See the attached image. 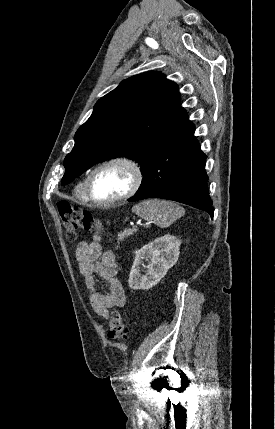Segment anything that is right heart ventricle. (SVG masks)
Here are the masks:
<instances>
[{"mask_svg":"<svg viewBox=\"0 0 275 429\" xmlns=\"http://www.w3.org/2000/svg\"><path fill=\"white\" fill-rule=\"evenodd\" d=\"M87 176H84L82 180H80L78 182V184L75 187V195L78 199L82 200V201H88L86 193H85V185H86V180H87Z\"/></svg>","mask_w":275,"mask_h":429,"instance_id":"e07e8e85","label":"right heart ventricle"}]
</instances>
